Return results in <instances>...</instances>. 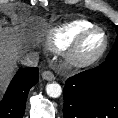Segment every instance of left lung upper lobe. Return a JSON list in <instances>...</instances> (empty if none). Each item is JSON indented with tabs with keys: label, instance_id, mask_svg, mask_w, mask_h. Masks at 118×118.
<instances>
[{
	"label": "left lung upper lobe",
	"instance_id": "left-lung-upper-lobe-1",
	"mask_svg": "<svg viewBox=\"0 0 118 118\" xmlns=\"http://www.w3.org/2000/svg\"><path fill=\"white\" fill-rule=\"evenodd\" d=\"M116 32L118 33V26L116 27ZM113 59H118V36L116 38L115 44L111 51L109 52L106 61L108 60H113Z\"/></svg>",
	"mask_w": 118,
	"mask_h": 118
}]
</instances>
